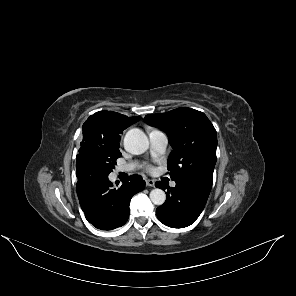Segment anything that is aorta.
<instances>
[{
	"label": "aorta",
	"mask_w": 296,
	"mask_h": 296,
	"mask_svg": "<svg viewBox=\"0 0 296 296\" xmlns=\"http://www.w3.org/2000/svg\"><path fill=\"white\" fill-rule=\"evenodd\" d=\"M124 147L131 154H142L149 147L148 137L140 129H130L124 137ZM150 200L153 204L160 206L165 202L166 194L162 189L155 188L150 192Z\"/></svg>",
	"instance_id": "obj_1"
}]
</instances>
